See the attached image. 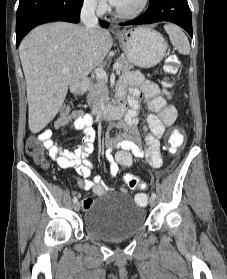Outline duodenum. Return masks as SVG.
I'll use <instances>...</instances> for the list:
<instances>
[{
    "label": "duodenum",
    "mask_w": 227,
    "mask_h": 279,
    "mask_svg": "<svg viewBox=\"0 0 227 279\" xmlns=\"http://www.w3.org/2000/svg\"><path fill=\"white\" fill-rule=\"evenodd\" d=\"M90 82L89 78H82L78 83H76L72 88L71 92L74 96H81L86 88L88 83ZM125 109L122 104H118L115 106H103L100 108L96 115L99 118H111V119H119L124 115Z\"/></svg>",
    "instance_id": "410a0bca"
}]
</instances>
